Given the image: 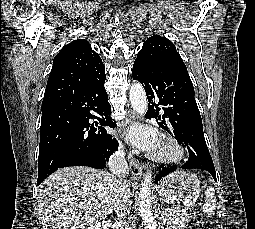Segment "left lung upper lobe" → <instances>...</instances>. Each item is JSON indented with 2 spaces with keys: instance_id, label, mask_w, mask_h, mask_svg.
Instances as JSON below:
<instances>
[{
  "instance_id": "obj_1",
  "label": "left lung upper lobe",
  "mask_w": 255,
  "mask_h": 229,
  "mask_svg": "<svg viewBox=\"0 0 255 229\" xmlns=\"http://www.w3.org/2000/svg\"><path fill=\"white\" fill-rule=\"evenodd\" d=\"M135 61L142 64L171 63L187 70L175 45L162 36L149 37L144 42Z\"/></svg>"
}]
</instances>
